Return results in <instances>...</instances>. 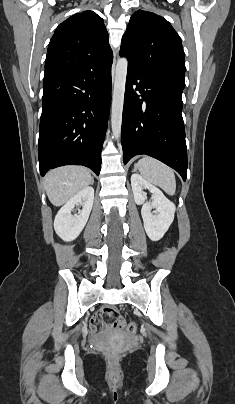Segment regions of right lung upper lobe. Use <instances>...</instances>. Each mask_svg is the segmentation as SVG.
I'll return each instance as SVG.
<instances>
[{
  "mask_svg": "<svg viewBox=\"0 0 235 404\" xmlns=\"http://www.w3.org/2000/svg\"><path fill=\"white\" fill-rule=\"evenodd\" d=\"M112 50L103 19L93 11L61 23L48 46L44 79L111 64Z\"/></svg>",
  "mask_w": 235,
  "mask_h": 404,
  "instance_id": "right-lung-upper-lobe-1",
  "label": "right lung upper lobe"
}]
</instances>
